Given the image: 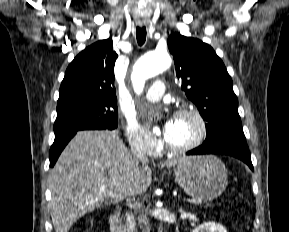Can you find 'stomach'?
<instances>
[{"label": "stomach", "mask_w": 289, "mask_h": 232, "mask_svg": "<svg viewBox=\"0 0 289 232\" xmlns=\"http://www.w3.org/2000/svg\"><path fill=\"white\" fill-rule=\"evenodd\" d=\"M176 182L189 196L211 201L225 190L227 169L215 156H192L182 158L174 168Z\"/></svg>", "instance_id": "obj_1"}]
</instances>
